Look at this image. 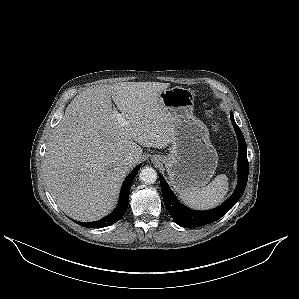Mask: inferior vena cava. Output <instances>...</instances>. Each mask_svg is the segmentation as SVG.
I'll use <instances>...</instances> for the list:
<instances>
[{
  "mask_svg": "<svg viewBox=\"0 0 299 299\" xmlns=\"http://www.w3.org/2000/svg\"><path fill=\"white\" fill-rule=\"evenodd\" d=\"M134 158L131 154H127L125 158L123 159L124 165H130L133 162Z\"/></svg>",
  "mask_w": 299,
  "mask_h": 299,
  "instance_id": "inferior-vena-cava-1",
  "label": "inferior vena cava"
}]
</instances>
